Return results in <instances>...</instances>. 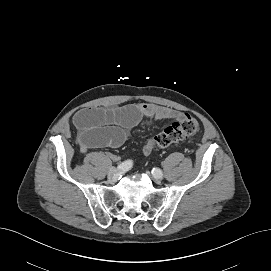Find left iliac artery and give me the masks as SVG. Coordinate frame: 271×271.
<instances>
[{
	"label": "left iliac artery",
	"mask_w": 271,
	"mask_h": 271,
	"mask_svg": "<svg viewBox=\"0 0 271 271\" xmlns=\"http://www.w3.org/2000/svg\"><path fill=\"white\" fill-rule=\"evenodd\" d=\"M152 174L154 175V176H162L163 174H162V171L160 170V169H158V168H153L152 169Z\"/></svg>",
	"instance_id": "44dca946"
}]
</instances>
